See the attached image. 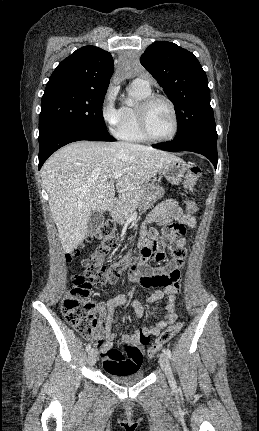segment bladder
Wrapping results in <instances>:
<instances>
[{
	"instance_id": "1",
	"label": "bladder",
	"mask_w": 259,
	"mask_h": 431,
	"mask_svg": "<svg viewBox=\"0 0 259 431\" xmlns=\"http://www.w3.org/2000/svg\"><path fill=\"white\" fill-rule=\"evenodd\" d=\"M107 377L122 385H128L143 380L146 373L143 371H130V372H116L106 370Z\"/></svg>"
}]
</instances>
